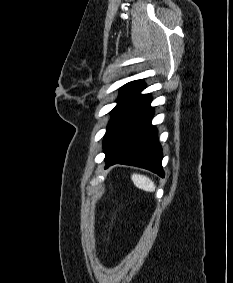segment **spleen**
Wrapping results in <instances>:
<instances>
[{
	"mask_svg": "<svg viewBox=\"0 0 233 283\" xmlns=\"http://www.w3.org/2000/svg\"><path fill=\"white\" fill-rule=\"evenodd\" d=\"M131 179L137 188L148 192L155 191L156 186L154 182L147 176L140 174H133Z\"/></svg>",
	"mask_w": 233,
	"mask_h": 283,
	"instance_id": "1",
	"label": "spleen"
}]
</instances>
